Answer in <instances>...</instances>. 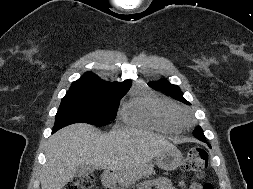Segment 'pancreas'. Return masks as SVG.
I'll list each match as a JSON object with an SVG mask.
<instances>
[{
    "label": "pancreas",
    "mask_w": 253,
    "mask_h": 189,
    "mask_svg": "<svg viewBox=\"0 0 253 189\" xmlns=\"http://www.w3.org/2000/svg\"><path fill=\"white\" fill-rule=\"evenodd\" d=\"M154 172L152 165H144L122 170L117 176L119 186L127 188L130 184L142 177H149Z\"/></svg>",
    "instance_id": "pancreas-1"
}]
</instances>
